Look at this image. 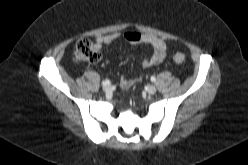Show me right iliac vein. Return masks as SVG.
I'll use <instances>...</instances> for the list:
<instances>
[{
    "label": "right iliac vein",
    "instance_id": "obj_1",
    "mask_svg": "<svg viewBox=\"0 0 248 165\" xmlns=\"http://www.w3.org/2000/svg\"><path fill=\"white\" fill-rule=\"evenodd\" d=\"M112 90V87L110 85L103 86V91L105 93H110Z\"/></svg>",
    "mask_w": 248,
    "mask_h": 165
}]
</instances>
